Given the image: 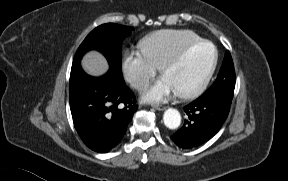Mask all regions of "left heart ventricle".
<instances>
[{"label":"left heart ventricle","instance_id":"obj_1","mask_svg":"<svg viewBox=\"0 0 288 181\" xmlns=\"http://www.w3.org/2000/svg\"><path fill=\"white\" fill-rule=\"evenodd\" d=\"M214 56L215 51L211 45H201L191 51L178 66L165 73L163 78L175 92L193 88L209 72Z\"/></svg>","mask_w":288,"mask_h":181}]
</instances>
